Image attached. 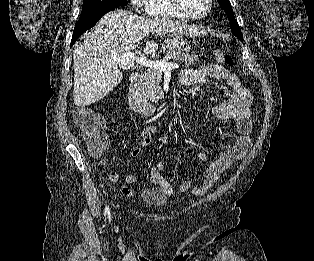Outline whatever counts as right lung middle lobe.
Masks as SVG:
<instances>
[{
    "instance_id": "obj_1",
    "label": "right lung middle lobe",
    "mask_w": 314,
    "mask_h": 261,
    "mask_svg": "<svg viewBox=\"0 0 314 261\" xmlns=\"http://www.w3.org/2000/svg\"><path fill=\"white\" fill-rule=\"evenodd\" d=\"M124 5H127V0H84L79 21L91 19L99 13Z\"/></svg>"
}]
</instances>
